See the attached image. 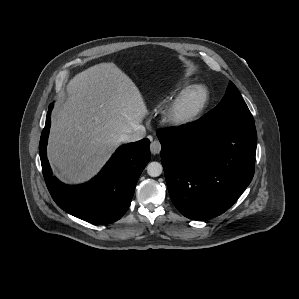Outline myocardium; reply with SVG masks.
Wrapping results in <instances>:
<instances>
[{"label":"myocardium","mask_w":299,"mask_h":299,"mask_svg":"<svg viewBox=\"0 0 299 299\" xmlns=\"http://www.w3.org/2000/svg\"><path fill=\"white\" fill-rule=\"evenodd\" d=\"M201 94V100L193 108H187L188 99L196 94ZM210 101V91L203 84L189 86L182 91L171 103L164 114V120L175 127H183L197 121L206 110Z\"/></svg>","instance_id":"myocardium-1"}]
</instances>
